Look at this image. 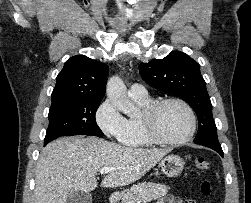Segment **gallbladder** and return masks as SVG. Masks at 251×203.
<instances>
[{
  "label": "gallbladder",
  "mask_w": 251,
  "mask_h": 203,
  "mask_svg": "<svg viewBox=\"0 0 251 203\" xmlns=\"http://www.w3.org/2000/svg\"><path fill=\"white\" fill-rule=\"evenodd\" d=\"M66 203H92V195L81 191H74L67 197Z\"/></svg>",
  "instance_id": "bac80fb5"
}]
</instances>
